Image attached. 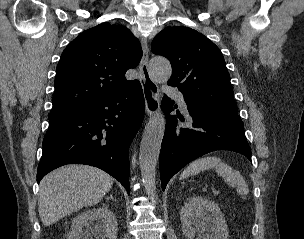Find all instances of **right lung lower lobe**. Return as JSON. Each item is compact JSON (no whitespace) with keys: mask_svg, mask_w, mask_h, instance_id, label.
Segmentation results:
<instances>
[{"mask_svg":"<svg viewBox=\"0 0 304 239\" xmlns=\"http://www.w3.org/2000/svg\"><path fill=\"white\" fill-rule=\"evenodd\" d=\"M144 115L139 81L109 94L88 107L49 119L37 182L66 164L98 167L130 193L128 149Z\"/></svg>","mask_w":304,"mask_h":239,"instance_id":"1","label":"right lung lower lobe"}]
</instances>
